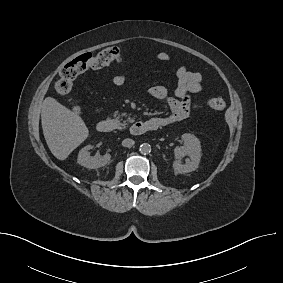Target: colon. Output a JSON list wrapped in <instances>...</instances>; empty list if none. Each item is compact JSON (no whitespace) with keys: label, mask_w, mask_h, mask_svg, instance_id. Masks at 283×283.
<instances>
[{"label":"colon","mask_w":283,"mask_h":283,"mask_svg":"<svg viewBox=\"0 0 283 283\" xmlns=\"http://www.w3.org/2000/svg\"><path fill=\"white\" fill-rule=\"evenodd\" d=\"M123 52L119 47H109L96 55L85 53L67 63L60 71L59 79L55 83V90L62 97H69L75 79L89 69H96L107 66L112 62L122 59ZM71 109L79 112L80 107L76 102L69 99ZM208 107L222 111L226 104L221 98H211L206 101Z\"/></svg>","instance_id":"obj_1"}]
</instances>
